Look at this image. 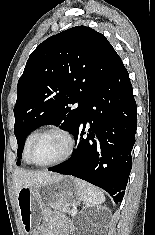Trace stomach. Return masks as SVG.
Instances as JSON below:
<instances>
[{"mask_svg": "<svg viewBox=\"0 0 155 235\" xmlns=\"http://www.w3.org/2000/svg\"><path fill=\"white\" fill-rule=\"evenodd\" d=\"M81 201V191L75 179L69 176H61L45 185L21 187L17 205L24 232L26 235L37 233L45 207L70 208Z\"/></svg>", "mask_w": 155, "mask_h": 235, "instance_id": "1", "label": "stomach"}]
</instances>
